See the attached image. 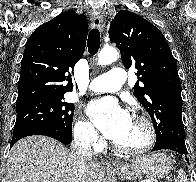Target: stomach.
<instances>
[{
    "label": "stomach",
    "mask_w": 196,
    "mask_h": 182,
    "mask_svg": "<svg viewBox=\"0 0 196 182\" xmlns=\"http://www.w3.org/2000/svg\"><path fill=\"white\" fill-rule=\"evenodd\" d=\"M172 167V161L166 154L157 152L126 162L117 169H111L121 179H136L141 175L154 178L165 177Z\"/></svg>",
    "instance_id": "stomach-1"
}]
</instances>
